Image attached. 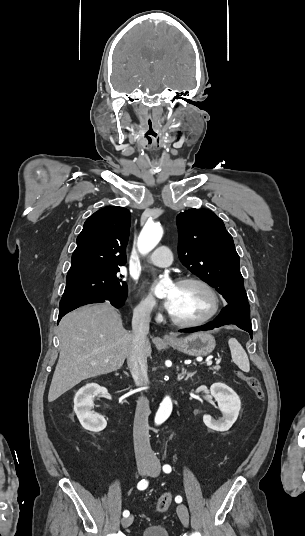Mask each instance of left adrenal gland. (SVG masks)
<instances>
[{"mask_svg": "<svg viewBox=\"0 0 305 536\" xmlns=\"http://www.w3.org/2000/svg\"><path fill=\"white\" fill-rule=\"evenodd\" d=\"M185 374H187L186 378H185ZM194 374H196V372H186V370L182 368V378H185V380H188V378H192Z\"/></svg>", "mask_w": 305, "mask_h": 536, "instance_id": "1", "label": "left adrenal gland"}]
</instances>
